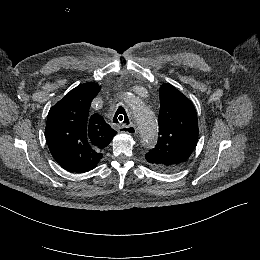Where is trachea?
<instances>
[{"label":"trachea","mask_w":260,"mask_h":260,"mask_svg":"<svg viewBox=\"0 0 260 260\" xmlns=\"http://www.w3.org/2000/svg\"><path fill=\"white\" fill-rule=\"evenodd\" d=\"M113 122L116 124L117 123L129 124V118L127 116L125 109L122 106H120L117 109V111L113 117Z\"/></svg>","instance_id":"obj_1"}]
</instances>
